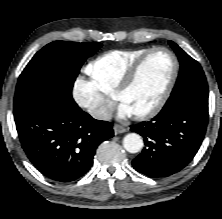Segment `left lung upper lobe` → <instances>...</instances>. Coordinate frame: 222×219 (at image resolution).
<instances>
[{
	"mask_svg": "<svg viewBox=\"0 0 222 219\" xmlns=\"http://www.w3.org/2000/svg\"><path fill=\"white\" fill-rule=\"evenodd\" d=\"M180 61V73L167 102L181 97H190L208 103V86L200 64L184 52L177 44L169 41Z\"/></svg>",
	"mask_w": 222,
	"mask_h": 219,
	"instance_id": "left-lung-upper-lobe-1",
	"label": "left lung upper lobe"
}]
</instances>
